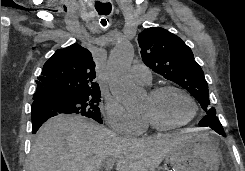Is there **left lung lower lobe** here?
Segmentation results:
<instances>
[{
	"label": "left lung lower lobe",
	"mask_w": 245,
	"mask_h": 171,
	"mask_svg": "<svg viewBox=\"0 0 245 171\" xmlns=\"http://www.w3.org/2000/svg\"><path fill=\"white\" fill-rule=\"evenodd\" d=\"M199 126L201 127H210L218 134L225 136L223 127L216 116L213 115H205V117L199 122Z\"/></svg>",
	"instance_id": "1"
}]
</instances>
